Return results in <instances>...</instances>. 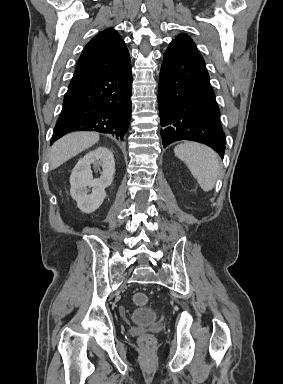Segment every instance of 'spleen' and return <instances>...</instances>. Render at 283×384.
Here are the masks:
<instances>
[{
	"instance_id": "obj_1",
	"label": "spleen",
	"mask_w": 283,
	"mask_h": 384,
	"mask_svg": "<svg viewBox=\"0 0 283 384\" xmlns=\"http://www.w3.org/2000/svg\"><path fill=\"white\" fill-rule=\"evenodd\" d=\"M174 154L186 164L204 192L213 190L220 172L218 156L214 150L203 144L185 142L176 146Z\"/></svg>"
}]
</instances>
